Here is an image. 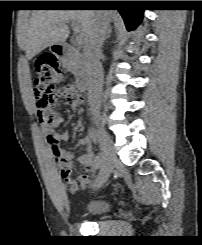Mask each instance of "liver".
Returning a JSON list of instances; mask_svg holds the SVG:
<instances>
[{"instance_id": "1", "label": "liver", "mask_w": 202, "mask_h": 245, "mask_svg": "<svg viewBox=\"0 0 202 245\" xmlns=\"http://www.w3.org/2000/svg\"><path fill=\"white\" fill-rule=\"evenodd\" d=\"M99 13L101 12L93 10H34L23 38L28 59H32L48 46L65 43L69 36V21L79 24L86 43ZM104 14L109 22L115 16L114 12Z\"/></svg>"}]
</instances>
